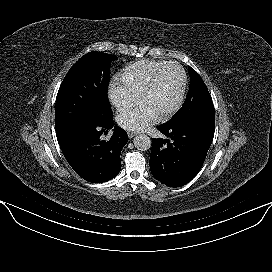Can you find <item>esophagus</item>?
<instances>
[{"instance_id":"esophagus-1","label":"esophagus","mask_w":272,"mask_h":272,"mask_svg":"<svg viewBox=\"0 0 272 272\" xmlns=\"http://www.w3.org/2000/svg\"><path fill=\"white\" fill-rule=\"evenodd\" d=\"M135 135H137V133L136 132H128V137L131 139V138H133Z\"/></svg>"}]
</instances>
